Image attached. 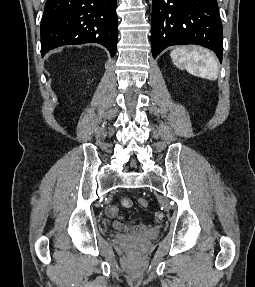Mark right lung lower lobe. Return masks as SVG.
<instances>
[{
  "label": "right lung lower lobe",
  "instance_id": "right-lung-lower-lobe-1",
  "mask_svg": "<svg viewBox=\"0 0 255 287\" xmlns=\"http://www.w3.org/2000/svg\"><path fill=\"white\" fill-rule=\"evenodd\" d=\"M117 0H47L41 20V54L63 45L99 43L117 48Z\"/></svg>",
  "mask_w": 255,
  "mask_h": 287
}]
</instances>
